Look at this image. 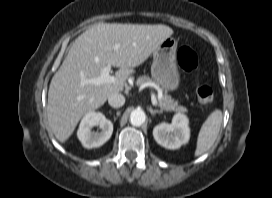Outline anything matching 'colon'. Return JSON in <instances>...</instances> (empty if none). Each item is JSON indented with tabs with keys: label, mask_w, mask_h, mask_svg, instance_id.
<instances>
[{
	"label": "colon",
	"mask_w": 272,
	"mask_h": 198,
	"mask_svg": "<svg viewBox=\"0 0 272 198\" xmlns=\"http://www.w3.org/2000/svg\"><path fill=\"white\" fill-rule=\"evenodd\" d=\"M179 66L188 73L194 72L198 67V57L188 46H181L177 53ZM197 99L202 104H211L215 98V92L211 86L203 85L197 89Z\"/></svg>",
	"instance_id": "colon-1"
}]
</instances>
